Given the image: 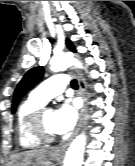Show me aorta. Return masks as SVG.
<instances>
[{
    "label": "aorta",
    "instance_id": "1",
    "mask_svg": "<svg viewBox=\"0 0 135 166\" xmlns=\"http://www.w3.org/2000/svg\"><path fill=\"white\" fill-rule=\"evenodd\" d=\"M50 64V69L53 72L66 70L70 66L82 68V63L75 59L72 55L67 53L54 56ZM85 145L86 136L82 133L78 135L70 144L64 159L63 166H81L83 161Z\"/></svg>",
    "mask_w": 135,
    "mask_h": 166
}]
</instances>
